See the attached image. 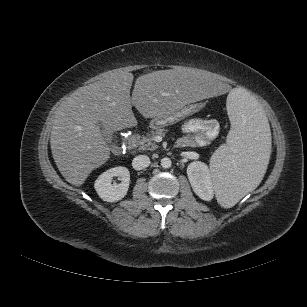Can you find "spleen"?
Wrapping results in <instances>:
<instances>
[{"instance_id": "1", "label": "spleen", "mask_w": 307, "mask_h": 307, "mask_svg": "<svg viewBox=\"0 0 307 307\" xmlns=\"http://www.w3.org/2000/svg\"><path fill=\"white\" fill-rule=\"evenodd\" d=\"M232 130L227 145L211 158L210 173L218 203L233 207L261 180L271 150L270 128L258 101L233 89L227 98Z\"/></svg>"}]
</instances>
